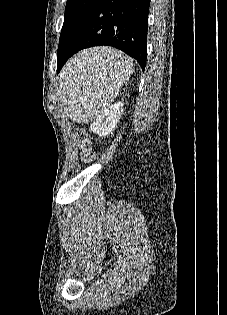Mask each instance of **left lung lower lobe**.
Segmentation results:
<instances>
[{"label":"left lung lower lobe","instance_id":"1","mask_svg":"<svg viewBox=\"0 0 227 315\" xmlns=\"http://www.w3.org/2000/svg\"><path fill=\"white\" fill-rule=\"evenodd\" d=\"M150 0H99L57 55V73L78 51L113 46L146 66Z\"/></svg>","mask_w":227,"mask_h":315}]
</instances>
